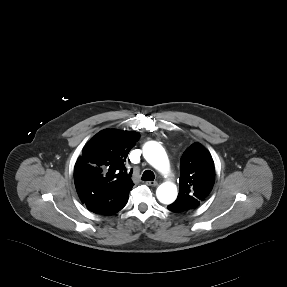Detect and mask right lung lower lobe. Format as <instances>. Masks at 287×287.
Wrapping results in <instances>:
<instances>
[{
    "label": "right lung lower lobe",
    "instance_id": "98d812e1",
    "mask_svg": "<svg viewBox=\"0 0 287 287\" xmlns=\"http://www.w3.org/2000/svg\"><path fill=\"white\" fill-rule=\"evenodd\" d=\"M130 190L123 186L93 190L85 196L83 203L91 212L101 215H112L126 205Z\"/></svg>",
    "mask_w": 287,
    "mask_h": 287
}]
</instances>
